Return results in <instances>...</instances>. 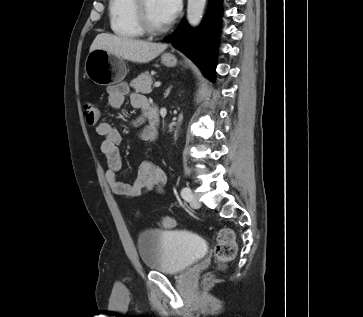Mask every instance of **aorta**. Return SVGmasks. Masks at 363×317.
<instances>
[{
  "label": "aorta",
  "instance_id": "obj_1",
  "mask_svg": "<svg viewBox=\"0 0 363 317\" xmlns=\"http://www.w3.org/2000/svg\"><path fill=\"white\" fill-rule=\"evenodd\" d=\"M206 0H188L187 20L192 27L199 25L204 12Z\"/></svg>",
  "mask_w": 363,
  "mask_h": 317
}]
</instances>
